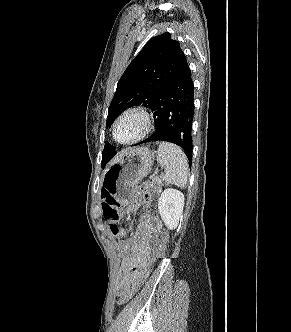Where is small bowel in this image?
I'll return each instance as SVG.
<instances>
[{"mask_svg": "<svg viewBox=\"0 0 291 332\" xmlns=\"http://www.w3.org/2000/svg\"><path fill=\"white\" fill-rule=\"evenodd\" d=\"M161 228L158 219L144 215L133 236L123 242L122 249L126 257L121 269L120 292L133 282L140 269L147 264L152 251L151 242L158 237Z\"/></svg>", "mask_w": 291, "mask_h": 332, "instance_id": "c3829d8e", "label": "small bowel"}]
</instances>
